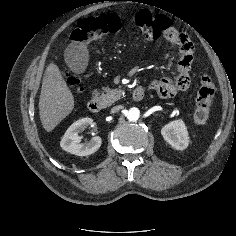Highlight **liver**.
I'll return each mask as SVG.
<instances>
[{
	"label": "liver",
	"mask_w": 236,
	"mask_h": 236,
	"mask_svg": "<svg viewBox=\"0 0 236 236\" xmlns=\"http://www.w3.org/2000/svg\"><path fill=\"white\" fill-rule=\"evenodd\" d=\"M74 97L59 67L51 62L44 73L39 98V115L43 128L52 131L74 109Z\"/></svg>",
	"instance_id": "liver-1"
}]
</instances>
